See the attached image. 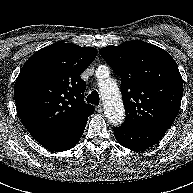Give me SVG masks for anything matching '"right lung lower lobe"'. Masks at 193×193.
Listing matches in <instances>:
<instances>
[{
  "label": "right lung lower lobe",
  "instance_id": "right-lung-lower-lobe-1",
  "mask_svg": "<svg viewBox=\"0 0 193 193\" xmlns=\"http://www.w3.org/2000/svg\"><path fill=\"white\" fill-rule=\"evenodd\" d=\"M86 123L78 126L74 130L57 137H52L38 141L43 147L54 151H66L73 148L80 140Z\"/></svg>",
  "mask_w": 193,
  "mask_h": 193
}]
</instances>
